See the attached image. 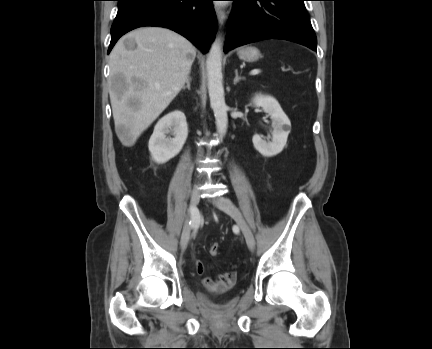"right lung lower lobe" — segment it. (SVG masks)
<instances>
[{
    "mask_svg": "<svg viewBox=\"0 0 432 349\" xmlns=\"http://www.w3.org/2000/svg\"><path fill=\"white\" fill-rule=\"evenodd\" d=\"M118 12L111 27V49L130 30L160 26L190 40L203 53L216 33L217 20L212 0H117Z\"/></svg>",
    "mask_w": 432,
    "mask_h": 349,
    "instance_id": "1",
    "label": "right lung lower lobe"
}]
</instances>
